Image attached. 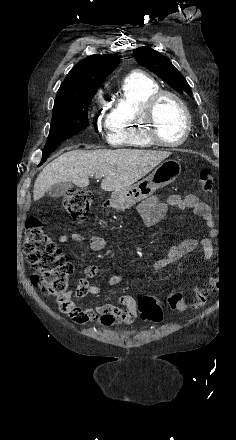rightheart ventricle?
<instances>
[{"label":"right heart ventricle","mask_w":236,"mask_h":440,"mask_svg":"<svg viewBox=\"0 0 236 440\" xmlns=\"http://www.w3.org/2000/svg\"><path fill=\"white\" fill-rule=\"evenodd\" d=\"M158 90L156 80L145 74L132 73L124 78L106 118L107 139L112 146L135 149L154 146L146 136L142 112L147 99Z\"/></svg>","instance_id":"obj_1"}]
</instances>
